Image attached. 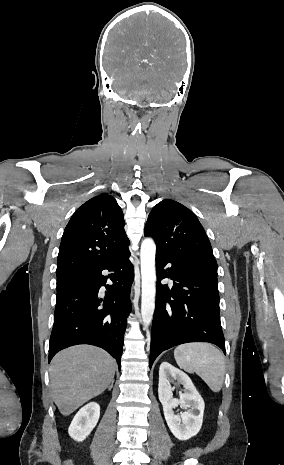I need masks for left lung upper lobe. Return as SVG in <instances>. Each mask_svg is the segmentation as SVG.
Here are the masks:
<instances>
[{"label": "left lung upper lobe", "mask_w": 284, "mask_h": 465, "mask_svg": "<svg viewBox=\"0 0 284 465\" xmlns=\"http://www.w3.org/2000/svg\"><path fill=\"white\" fill-rule=\"evenodd\" d=\"M160 252L217 276V262L203 226L184 205L165 199L155 205L145 225Z\"/></svg>", "instance_id": "obj_1"}]
</instances>
